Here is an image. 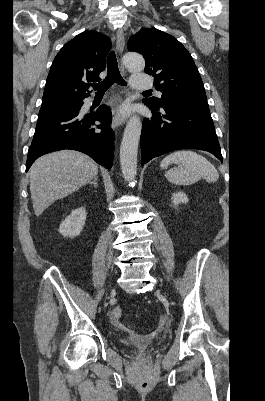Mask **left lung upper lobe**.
Wrapping results in <instances>:
<instances>
[{"instance_id": "1", "label": "left lung upper lobe", "mask_w": 265, "mask_h": 401, "mask_svg": "<svg viewBox=\"0 0 265 401\" xmlns=\"http://www.w3.org/2000/svg\"><path fill=\"white\" fill-rule=\"evenodd\" d=\"M129 51L145 58V73L154 76L161 98L144 99L148 105L184 101H206V93L198 69L187 49L173 36L155 28L140 30L129 39Z\"/></svg>"}]
</instances>
